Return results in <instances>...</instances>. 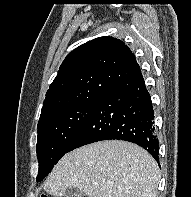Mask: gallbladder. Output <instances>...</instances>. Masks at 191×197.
Instances as JSON below:
<instances>
[{"instance_id": "bac80fb5", "label": "gallbladder", "mask_w": 191, "mask_h": 197, "mask_svg": "<svg viewBox=\"0 0 191 197\" xmlns=\"http://www.w3.org/2000/svg\"><path fill=\"white\" fill-rule=\"evenodd\" d=\"M83 193L77 188H68L62 197H82Z\"/></svg>"}]
</instances>
